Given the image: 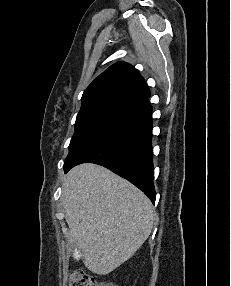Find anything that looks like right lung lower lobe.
Masks as SVG:
<instances>
[{"instance_id": "98d812e1", "label": "right lung lower lobe", "mask_w": 231, "mask_h": 286, "mask_svg": "<svg viewBox=\"0 0 231 286\" xmlns=\"http://www.w3.org/2000/svg\"><path fill=\"white\" fill-rule=\"evenodd\" d=\"M151 112L152 107L146 100L134 117L112 129L74 162L65 165V173L85 162L102 165L133 183L154 203Z\"/></svg>"}]
</instances>
